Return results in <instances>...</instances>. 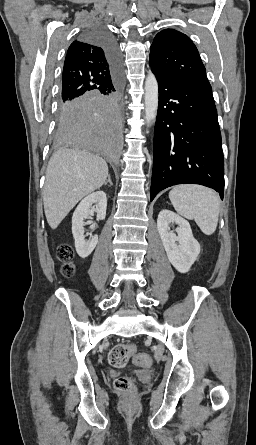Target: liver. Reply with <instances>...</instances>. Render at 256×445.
Segmentation results:
<instances>
[{
	"mask_svg": "<svg viewBox=\"0 0 256 445\" xmlns=\"http://www.w3.org/2000/svg\"><path fill=\"white\" fill-rule=\"evenodd\" d=\"M108 176L101 157L59 148L49 160L43 191L44 212L49 226L56 229L70 210L86 195L99 189Z\"/></svg>",
	"mask_w": 256,
	"mask_h": 445,
	"instance_id": "1",
	"label": "liver"
}]
</instances>
